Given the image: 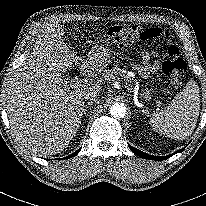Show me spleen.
<instances>
[{"label":"spleen","mask_w":206,"mask_h":206,"mask_svg":"<svg viewBox=\"0 0 206 206\" xmlns=\"http://www.w3.org/2000/svg\"><path fill=\"white\" fill-rule=\"evenodd\" d=\"M199 110V86L194 80H190L166 108L158 109L152 114L149 124L161 135L185 140L195 129Z\"/></svg>","instance_id":"obj_1"}]
</instances>
